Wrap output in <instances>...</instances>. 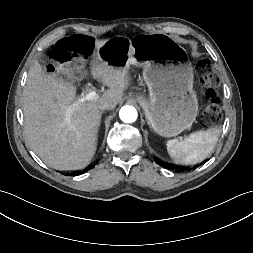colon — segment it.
<instances>
[{"instance_id":"1","label":"colon","mask_w":253,"mask_h":253,"mask_svg":"<svg viewBox=\"0 0 253 253\" xmlns=\"http://www.w3.org/2000/svg\"><path fill=\"white\" fill-rule=\"evenodd\" d=\"M93 48L92 39L84 35H74L60 40L53 49V58L61 66H82V62L91 54ZM200 84L204 95L208 98V104L203 112L206 123H215L221 117L220 104L217 98V89L220 79L217 74L210 71L207 60L198 63Z\"/></svg>"}]
</instances>
